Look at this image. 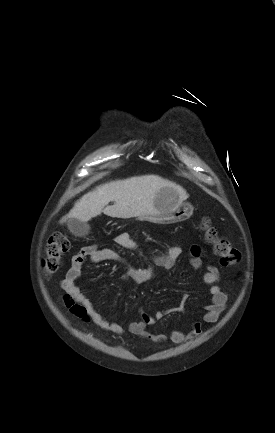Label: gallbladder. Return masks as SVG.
<instances>
[{"label":"gallbladder","instance_id":"gallbladder-1","mask_svg":"<svg viewBox=\"0 0 275 433\" xmlns=\"http://www.w3.org/2000/svg\"><path fill=\"white\" fill-rule=\"evenodd\" d=\"M67 226L70 232L75 236L84 237L90 232L89 224L78 219H69Z\"/></svg>","mask_w":275,"mask_h":433}]
</instances>
